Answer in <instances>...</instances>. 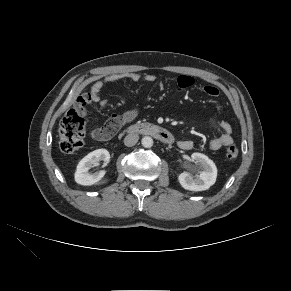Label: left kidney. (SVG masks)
Here are the masks:
<instances>
[{
	"mask_svg": "<svg viewBox=\"0 0 291 291\" xmlns=\"http://www.w3.org/2000/svg\"><path fill=\"white\" fill-rule=\"evenodd\" d=\"M190 161L196 166H188L190 172H182L178 176L180 185L190 191H204L212 186L217 178V168L215 163L208 156L195 152L191 155ZM197 172L195 176L192 174Z\"/></svg>",
	"mask_w": 291,
	"mask_h": 291,
	"instance_id": "5707ae66",
	"label": "left kidney"
}]
</instances>
